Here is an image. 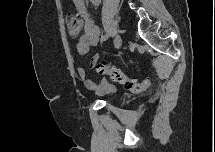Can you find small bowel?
Instances as JSON below:
<instances>
[{"label":"small bowel","instance_id":"c3829d8e","mask_svg":"<svg viewBox=\"0 0 215 152\" xmlns=\"http://www.w3.org/2000/svg\"><path fill=\"white\" fill-rule=\"evenodd\" d=\"M74 6L78 13V15L83 20V29L84 33L79 38L76 49L80 55H85L89 52L92 46H95L99 42L100 37V29L91 19L90 14L87 10L86 4L84 0H74ZM93 4H100V0H92ZM100 59V55H94L91 59L92 62H97ZM77 73L79 77L82 79L86 88L93 90L98 95L109 94L115 91V86L108 82L107 80H103L100 84H96L94 81L86 77V71L83 67L77 68Z\"/></svg>","mask_w":215,"mask_h":152}]
</instances>
